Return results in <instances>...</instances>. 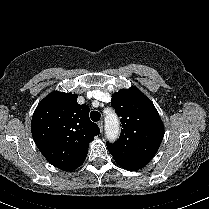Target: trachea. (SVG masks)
<instances>
[{
  "label": "trachea",
  "instance_id": "1",
  "mask_svg": "<svg viewBox=\"0 0 209 209\" xmlns=\"http://www.w3.org/2000/svg\"><path fill=\"white\" fill-rule=\"evenodd\" d=\"M101 114L98 111H92L90 113V118L92 121L97 122L100 120Z\"/></svg>",
  "mask_w": 209,
  "mask_h": 209
}]
</instances>
